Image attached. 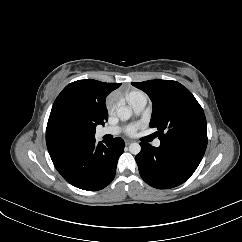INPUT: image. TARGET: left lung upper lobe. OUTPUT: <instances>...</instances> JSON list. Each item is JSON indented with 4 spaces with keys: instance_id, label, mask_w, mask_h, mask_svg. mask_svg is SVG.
Segmentation results:
<instances>
[{
    "instance_id": "5c2ea615",
    "label": "left lung upper lobe",
    "mask_w": 242,
    "mask_h": 242,
    "mask_svg": "<svg viewBox=\"0 0 242 242\" xmlns=\"http://www.w3.org/2000/svg\"><path fill=\"white\" fill-rule=\"evenodd\" d=\"M132 85L150 97L153 105L150 127L157 128L161 143L206 150V118L187 88L172 80L132 82Z\"/></svg>"
}]
</instances>
